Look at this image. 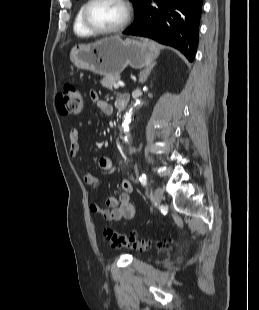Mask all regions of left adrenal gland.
<instances>
[{
    "label": "left adrenal gland",
    "mask_w": 259,
    "mask_h": 310,
    "mask_svg": "<svg viewBox=\"0 0 259 310\" xmlns=\"http://www.w3.org/2000/svg\"><path fill=\"white\" fill-rule=\"evenodd\" d=\"M156 63H152L149 67H147L146 69L142 70L140 72L139 75V82L140 83H145L148 76L150 75L151 71L153 70V68L155 67Z\"/></svg>",
    "instance_id": "a2214340"
}]
</instances>
